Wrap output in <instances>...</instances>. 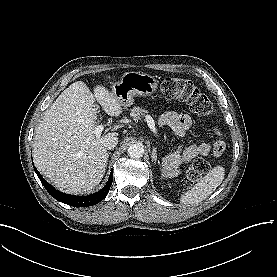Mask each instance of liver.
<instances>
[{
  "label": "liver",
  "instance_id": "liver-1",
  "mask_svg": "<svg viewBox=\"0 0 277 277\" xmlns=\"http://www.w3.org/2000/svg\"><path fill=\"white\" fill-rule=\"evenodd\" d=\"M97 101L109 116H119L122 105L103 85L93 93L82 81L72 83L44 112L35 130L33 159L37 169L58 190L70 194L91 192L102 180L107 159L104 141L116 136L96 135Z\"/></svg>",
  "mask_w": 277,
  "mask_h": 277
}]
</instances>
